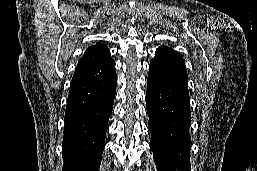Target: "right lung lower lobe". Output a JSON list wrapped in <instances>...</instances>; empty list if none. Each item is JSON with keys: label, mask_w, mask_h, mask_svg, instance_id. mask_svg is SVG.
Instances as JSON below:
<instances>
[{"label": "right lung lower lobe", "mask_w": 257, "mask_h": 171, "mask_svg": "<svg viewBox=\"0 0 257 171\" xmlns=\"http://www.w3.org/2000/svg\"><path fill=\"white\" fill-rule=\"evenodd\" d=\"M112 58L77 66L65 112L63 171H98L116 94Z\"/></svg>", "instance_id": "1"}]
</instances>
